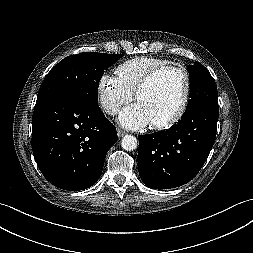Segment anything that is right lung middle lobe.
Returning a JSON list of instances; mask_svg holds the SVG:
<instances>
[{"label":"right lung middle lobe","mask_w":253,"mask_h":253,"mask_svg":"<svg viewBox=\"0 0 253 253\" xmlns=\"http://www.w3.org/2000/svg\"><path fill=\"white\" fill-rule=\"evenodd\" d=\"M122 56L123 54L86 52L66 57L44 78L37 101L59 96L97 107L98 82L104 71Z\"/></svg>","instance_id":"right-lung-middle-lobe-1"}]
</instances>
